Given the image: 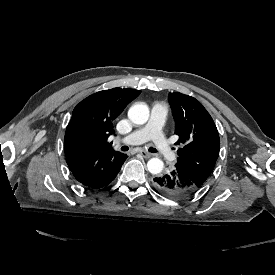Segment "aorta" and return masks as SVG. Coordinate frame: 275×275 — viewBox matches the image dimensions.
<instances>
[{
	"label": "aorta",
	"instance_id": "1",
	"mask_svg": "<svg viewBox=\"0 0 275 275\" xmlns=\"http://www.w3.org/2000/svg\"><path fill=\"white\" fill-rule=\"evenodd\" d=\"M128 118L137 125L145 124L149 119V108L147 104L137 102L133 104L128 111ZM164 163L159 158H151L147 162L148 171L151 174H159L162 172Z\"/></svg>",
	"mask_w": 275,
	"mask_h": 275
}]
</instances>
